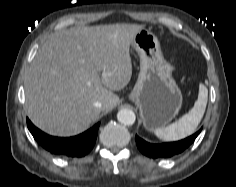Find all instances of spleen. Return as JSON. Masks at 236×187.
I'll use <instances>...</instances> for the list:
<instances>
[{
  "mask_svg": "<svg viewBox=\"0 0 236 187\" xmlns=\"http://www.w3.org/2000/svg\"><path fill=\"white\" fill-rule=\"evenodd\" d=\"M207 105V88L201 84L198 99L193 108L175 123L167 127L154 130L155 135L164 141H176L183 139L192 133L199 125Z\"/></svg>",
  "mask_w": 236,
  "mask_h": 187,
  "instance_id": "3e777b00",
  "label": "spleen"
}]
</instances>
